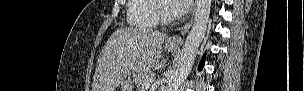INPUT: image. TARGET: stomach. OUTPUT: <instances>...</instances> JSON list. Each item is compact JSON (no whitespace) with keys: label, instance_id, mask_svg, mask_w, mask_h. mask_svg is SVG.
<instances>
[{"label":"stomach","instance_id":"obj_1","mask_svg":"<svg viewBox=\"0 0 304 91\" xmlns=\"http://www.w3.org/2000/svg\"><path fill=\"white\" fill-rule=\"evenodd\" d=\"M165 47L169 52H175L177 50V47L169 44H166ZM133 89V84L130 81H125L121 87V91H134Z\"/></svg>","mask_w":304,"mask_h":91}]
</instances>
